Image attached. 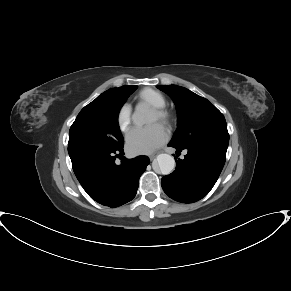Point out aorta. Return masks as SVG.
I'll return each instance as SVG.
<instances>
[{"mask_svg": "<svg viewBox=\"0 0 291 291\" xmlns=\"http://www.w3.org/2000/svg\"><path fill=\"white\" fill-rule=\"evenodd\" d=\"M132 121L137 126H142L150 121L149 109L145 106H137ZM157 166L163 175L172 173L175 168V160L169 154H159L156 158Z\"/></svg>", "mask_w": 291, "mask_h": 291, "instance_id": "obj_1", "label": "aorta"}]
</instances>
